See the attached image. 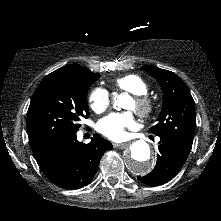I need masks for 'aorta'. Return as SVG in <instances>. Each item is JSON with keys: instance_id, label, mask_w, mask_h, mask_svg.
<instances>
[{"instance_id": "obj_1", "label": "aorta", "mask_w": 221, "mask_h": 221, "mask_svg": "<svg viewBox=\"0 0 221 221\" xmlns=\"http://www.w3.org/2000/svg\"><path fill=\"white\" fill-rule=\"evenodd\" d=\"M126 95H119L114 102L115 107H122ZM125 167L135 175H143L152 171L154 161L151 158V150L147 142L136 140L131 145L124 157Z\"/></svg>"}]
</instances>
